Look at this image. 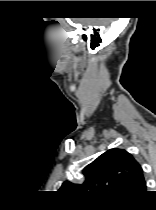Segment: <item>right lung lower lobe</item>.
<instances>
[{"label":"right lung lower lobe","mask_w":156,"mask_h":210,"mask_svg":"<svg viewBox=\"0 0 156 210\" xmlns=\"http://www.w3.org/2000/svg\"><path fill=\"white\" fill-rule=\"evenodd\" d=\"M145 193H143L142 195H140V196H138V197H136V198H134V199H132L131 201H136V200H139L143 195H144Z\"/></svg>","instance_id":"1"}]
</instances>
